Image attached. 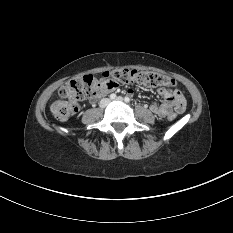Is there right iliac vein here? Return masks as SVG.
Returning a JSON list of instances; mask_svg holds the SVG:
<instances>
[{"mask_svg":"<svg viewBox=\"0 0 233 233\" xmlns=\"http://www.w3.org/2000/svg\"><path fill=\"white\" fill-rule=\"evenodd\" d=\"M108 104H109V100H108V99H104V100L101 102V106H102V107H106Z\"/></svg>","mask_w":233,"mask_h":233,"instance_id":"obj_1","label":"right iliac vein"}]
</instances>
